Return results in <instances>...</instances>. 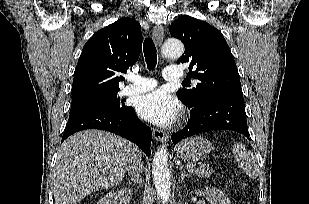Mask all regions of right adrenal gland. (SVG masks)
<instances>
[{
	"label": "right adrenal gland",
	"instance_id": "obj_1",
	"mask_svg": "<svg viewBox=\"0 0 309 204\" xmlns=\"http://www.w3.org/2000/svg\"><path fill=\"white\" fill-rule=\"evenodd\" d=\"M132 181L134 182V184H138L139 186L141 185V178L138 176L133 177ZM129 184H131V182H129Z\"/></svg>",
	"mask_w": 309,
	"mask_h": 204
}]
</instances>
